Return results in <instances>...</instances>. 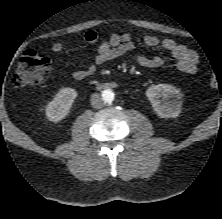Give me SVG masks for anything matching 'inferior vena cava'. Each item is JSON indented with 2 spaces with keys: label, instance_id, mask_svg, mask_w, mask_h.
Listing matches in <instances>:
<instances>
[{
  "label": "inferior vena cava",
  "instance_id": "1",
  "mask_svg": "<svg viewBox=\"0 0 222 219\" xmlns=\"http://www.w3.org/2000/svg\"><path fill=\"white\" fill-rule=\"evenodd\" d=\"M91 105H92L93 108H97V109L103 107L104 102H103V100H102V98L100 97L99 94H93L91 96Z\"/></svg>",
  "mask_w": 222,
  "mask_h": 219
}]
</instances>
